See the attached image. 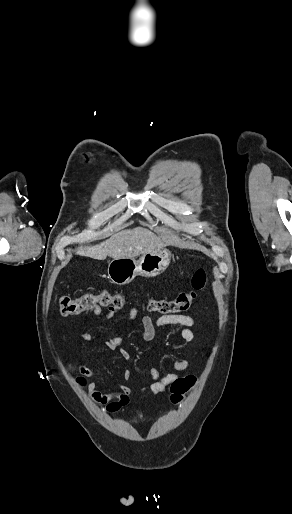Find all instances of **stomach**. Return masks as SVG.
Listing matches in <instances>:
<instances>
[{"mask_svg": "<svg viewBox=\"0 0 292 514\" xmlns=\"http://www.w3.org/2000/svg\"><path fill=\"white\" fill-rule=\"evenodd\" d=\"M170 260L171 254L163 248L142 254L139 260H135V258L112 260L108 266V278L118 286L130 284L135 276L154 278L168 268Z\"/></svg>", "mask_w": 292, "mask_h": 514, "instance_id": "0dacf381", "label": "stomach"}]
</instances>
